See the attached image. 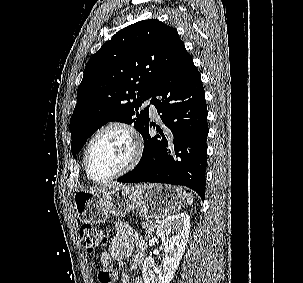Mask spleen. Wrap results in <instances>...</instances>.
<instances>
[{"mask_svg": "<svg viewBox=\"0 0 303 283\" xmlns=\"http://www.w3.org/2000/svg\"><path fill=\"white\" fill-rule=\"evenodd\" d=\"M186 198H187V204L188 205H192L193 204V196L190 193L186 194Z\"/></svg>", "mask_w": 303, "mask_h": 283, "instance_id": "spleen-1", "label": "spleen"}]
</instances>
